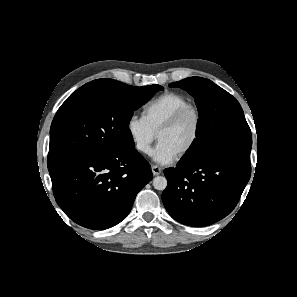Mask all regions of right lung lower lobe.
I'll return each instance as SVG.
<instances>
[{"label":"right lung lower lobe","instance_id":"98d812e1","mask_svg":"<svg viewBox=\"0 0 297 297\" xmlns=\"http://www.w3.org/2000/svg\"><path fill=\"white\" fill-rule=\"evenodd\" d=\"M48 170L57 204L75 223L94 230L121 222L153 177L134 147L74 155Z\"/></svg>","mask_w":297,"mask_h":297}]
</instances>
